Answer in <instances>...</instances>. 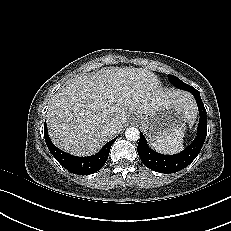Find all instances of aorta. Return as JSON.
<instances>
[{
    "label": "aorta",
    "mask_w": 231,
    "mask_h": 231,
    "mask_svg": "<svg viewBox=\"0 0 231 231\" xmlns=\"http://www.w3.org/2000/svg\"><path fill=\"white\" fill-rule=\"evenodd\" d=\"M125 137L129 141H137L140 138V132L135 127H130L125 131Z\"/></svg>",
    "instance_id": "obj_1"
}]
</instances>
